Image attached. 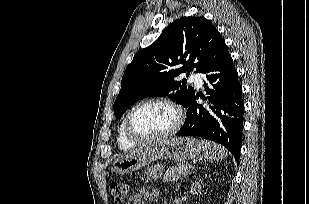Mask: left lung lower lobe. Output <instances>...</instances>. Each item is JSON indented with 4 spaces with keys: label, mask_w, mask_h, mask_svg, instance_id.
<instances>
[{
    "label": "left lung lower lobe",
    "mask_w": 309,
    "mask_h": 204,
    "mask_svg": "<svg viewBox=\"0 0 309 204\" xmlns=\"http://www.w3.org/2000/svg\"><path fill=\"white\" fill-rule=\"evenodd\" d=\"M204 88L209 104H197L193 96L187 109V118L177 136H197L225 146L239 163L242 146L243 111L242 88L238 73L227 47L213 65L206 69ZM211 85V87H209Z\"/></svg>",
    "instance_id": "0a47b994"
}]
</instances>
